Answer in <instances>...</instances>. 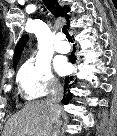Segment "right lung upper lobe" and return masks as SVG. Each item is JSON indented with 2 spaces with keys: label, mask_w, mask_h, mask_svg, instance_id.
<instances>
[{
  "label": "right lung upper lobe",
  "mask_w": 117,
  "mask_h": 136,
  "mask_svg": "<svg viewBox=\"0 0 117 136\" xmlns=\"http://www.w3.org/2000/svg\"><path fill=\"white\" fill-rule=\"evenodd\" d=\"M43 2L54 16L65 17L67 20V24H69L70 17H69V15H67V12L69 11L67 6H64V8H61V6L58 4L57 0H43ZM27 40H28V36L24 35L16 45L15 52H14V67L18 63L22 49L25 46Z\"/></svg>",
  "instance_id": "right-lung-upper-lobe-1"
}]
</instances>
